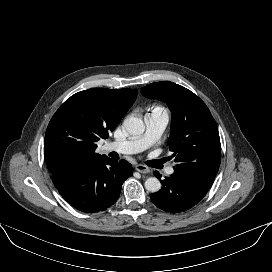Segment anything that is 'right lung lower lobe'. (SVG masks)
Here are the masks:
<instances>
[{"mask_svg":"<svg viewBox=\"0 0 272 272\" xmlns=\"http://www.w3.org/2000/svg\"><path fill=\"white\" fill-rule=\"evenodd\" d=\"M133 175L125 160L108 157L87 166L53 175L61 196L76 209L93 213L106 210L119 198L123 182Z\"/></svg>","mask_w":272,"mask_h":272,"instance_id":"98d812e1","label":"right lung lower lobe"}]
</instances>
